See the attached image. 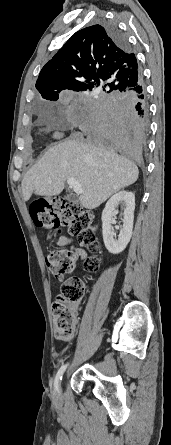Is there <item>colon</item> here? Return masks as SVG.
I'll use <instances>...</instances> for the list:
<instances>
[{"label": "colon", "instance_id": "obj_1", "mask_svg": "<svg viewBox=\"0 0 171 445\" xmlns=\"http://www.w3.org/2000/svg\"><path fill=\"white\" fill-rule=\"evenodd\" d=\"M30 214L37 227L51 232L66 228L71 235L78 237L81 245L91 251H98L99 244L93 228L94 215L80 204L62 199L36 201L30 207ZM76 261V254L66 250H51L46 254L47 266L52 275L57 279L67 277L52 307L55 337L64 342L74 336L75 305L84 295L83 281L79 277L69 276L75 269ZM85 269L94 273L98 269L97 260L88 259Z\"/></svg>", "mask_w": 171, "mask_h": 445}]
</instances>
